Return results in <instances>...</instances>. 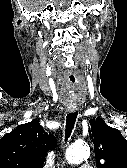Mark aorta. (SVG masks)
Here are the masks:
<instances>
[{"mask_svg": "<svg viewBox=\"0 0 127 168\" xmlns=\"http://www.w3.org/2000/svg\"><path fill=\"white\" fill-rule=\"evenodd\" d=\"M90 156V149L85 143H74L66 151V159L71 164H79Z\"/></svg>", "mask_w": 127, "mask_h": 168, "instance_id": "1", "label": "aorta"}]
</instances>
